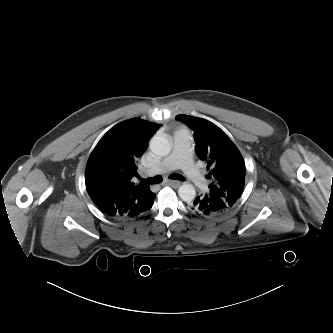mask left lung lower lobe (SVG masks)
<instances>
[{
	"label": "left lung lower lobe",
	"instance_id": "obj_1",
	"mask_svg": "<svg viewBox=\"0 0 333 333\" xmlns=\"http://www.w3.org/2000/svg\"><path fill=\"white\" fill-rule=\"evenodd\" d=\"M190 209L205 216H218L228 211L226 203L212 194H204L190 202Z\"/></svg>",
	"mask_w": 333,
	"mask_h": 333
}]
</instances>
